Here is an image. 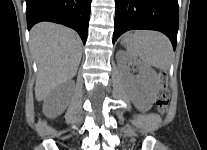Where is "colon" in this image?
Listing matches in <instances>:
<instances>
[{
  "instance_id": "5ec220e1",
  "label": "colon",
  "mask_w": 207,
  "mask_h": 150,
  "mask_svg": "<svg viewBox=\"0 0 207 150\" xmlns=\"http://www.w3.org/2000/svg\"><path fill=\"white\" fill-rule=\"evenodd\" d=\"M170 93L168 89V78L166 73L159 75V88L156 95V105L161 113H165L169 104Z\"/></svg>"
}]
</instances>
